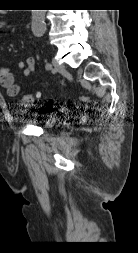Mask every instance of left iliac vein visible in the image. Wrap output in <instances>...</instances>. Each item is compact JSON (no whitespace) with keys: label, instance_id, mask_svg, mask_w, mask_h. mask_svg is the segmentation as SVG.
Returning a JSON list of instances; mask_svg holds the SVG:
<instances>
[{"label":"left iliac vein","instance_id":"left-iliac-vein-1","mask_svg":"<svg viewBox=\"0 0 138 253\" xmlns=\"http://www.w3.org/2000/svg\"><path fill=\"white\" fill-rule=\"evenodd\" d=\"M52 64L54 72H62L64 70V66L61 65L57 60L53 59Z\"/></svg>","mask_w":138,"mask_h":253}]
</instances>
